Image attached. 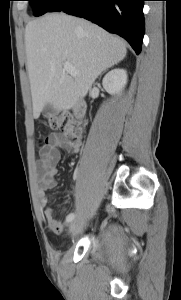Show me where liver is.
Instances as JSON below:
<instances>
[{
	"label": "liver",
	"instance_id": "liver-1",
	"mask_svg": "<svg viewBox=\"0 0 181 300\" xmlns=\"http://www.w3.org/2000/svg\"><path fill=\"white\" fill-rule=\"evenodd\" d=\"M27 71L37 119L46 105L67 111L88 90L99 75L122 61L125 42L84 19L63 13H50L26 25ZM78 71L70 76L64 63Z\"/></svg>",
	"mask_w": 181,
	"mask_h": 300
}]
</instances>
